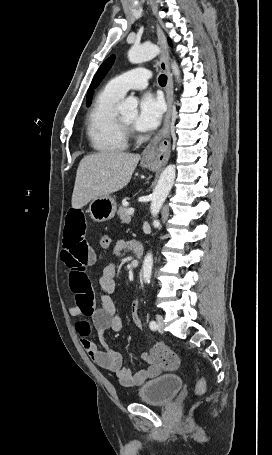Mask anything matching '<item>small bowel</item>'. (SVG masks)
Returning a JSON list of instances; mask_svg holds the SVG:
<instances>
[{
    "instance_id": "1",
    "label": "small bowel",
    "mask_w": 272,
    "mask_h": 455,
    "mask_svg": "<svg viewBox=\"0 0 272 455\" xmlns=\"http://www.w3.org/2000/svg\"><path fill=\"white\" fill-rule=\"evenodd\" d=\"M86 220L80 210L72 209L66 216L61 259L68 269L69 285L75 297V305L70 308L69 313L76 318L75 329L79 334L81 344L89 357L100 367L111 372L117 380L124 386H136L157 376L161 372L159 364H151L137 372L123 368L122 356L113 350L107 343L102 342L99 348L90 339V324L84 319L90 317L95 329L103 334L107 330L121 332L123 321L116 314L112 294L115 291L116 266L114 263L108 264L101 275L100 285L103 293L100 297V307H95L93 289L87 269L96 261L94 249L85 239ZM132 242L119 240L113 247V254L120 256L126 248L131 249ZM139 300H134L131 312L134 322L141 326L138 315ZM143 360H148L147 353L142 354Z\"/></svg>"
}]
</instances>
